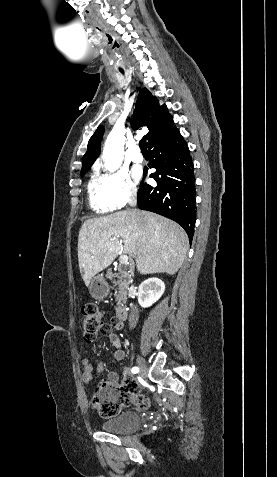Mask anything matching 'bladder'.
<instances>
[{
	"instance_id": "obj_1",
	"label": "bladder",
	"mask_w": 277,
	"mask_h": 477,
	"mask_svg": "<svg viewBox=\"0 0 277 477\" xmlns=\"http://www.w3.org/2000/svg\"><path fill=\"white\" fill-rule=\"evenodd\" d=\"M142 424L141 416L134 411H124L101 424L102 430L109 433L123 434L137 430Z\"/></svg>"
}]
</instances>
